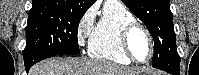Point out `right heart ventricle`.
Wrapping results in <instances>:
<instances>
[{
    "mask_svg": "<svg viewBox=\"0 0 199 75\" xmlns=\"http://www.w3.org/2000/svg\"><path fill=\"white\" fill-rule=\"evenodd\" d=\"M133 20L134 15L123 5L104 6L89 38V56L120 65H130L132 61L123 50L120 31L125 24Z\"/></svg>",
    "mask_w": 199,
    "mask_h": 75,
    "instance_id": "1",
    "label": "right heart ventricle"
}]
</instances>
